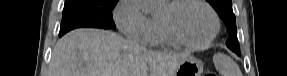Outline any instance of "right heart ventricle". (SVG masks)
<instances>
[{"label": "right heart ventricle", "mask_w": 287, "mask_h": 76, "mask_svg": "<svg viewBox=\"0 0 287 76\" xmlns=\"http://www.w3.org/2000/svg\"><path fill=\"white\" fill-rule=\"evenodd\" d=\"M153 33L150 41L148 42L151 45H158L163 47H168L174 45L170 37L168 36L162 15H154L151 18Z\"/></svg>", "instance_id": "right-heart-ventricle-1"}]
</instances>
